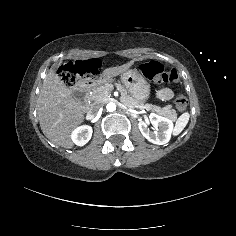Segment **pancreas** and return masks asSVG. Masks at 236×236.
Masks as SVG:
<instances>
[{
    "label": "pancreas",
    "instance_id": "cf45deb5",
    "mask_svg": "<svg viewBox=\"0 0 236 236\" xmlns=\"http://www.w3.org/2000/svg\"><path fill=\"white\" fill-rule=\"evenodd\" d=\"M117 89L121 93L120 101L129 107H137L140 105V102L135 100L130 96L127 89L120 83H104L98 86H93L90 89L91 94L88 97V102L90 104L95 103H103L105 102L108 97L111 95L113 89ZM155 112L160 115L164 116L172 121L176 120L177 118V111L172 109L171 105H168L164 108H159L154 106Z\"/></svg>",
    "mask_w": 236,
    "mask_h": 236
}]
</instances>
